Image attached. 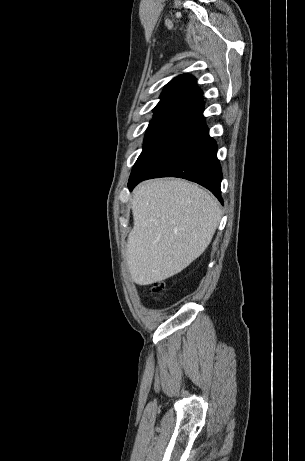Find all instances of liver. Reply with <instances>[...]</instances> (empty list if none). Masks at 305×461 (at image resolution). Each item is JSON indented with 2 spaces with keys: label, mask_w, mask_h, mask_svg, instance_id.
<instances>
[{
  "label": "liver",
  "mask_w": 305,
  "mask_h": 461,
  "mask_svg": "<svg viewBox=\"0 0 305 461\" xmlns=\"http://www.w3.org/2000/svg\"><path fill=\"white\" fill-rule=\"evenodd\" d=\"M131 208L126 260L138 285L163 281L189 266L208 247L221 218L216 199L181 179L139 184Z\"/></svg>",
  "instance_id": "6515ba94"
}]
</instances>
